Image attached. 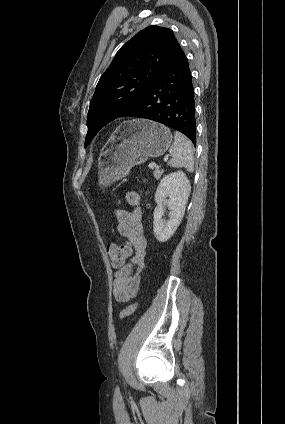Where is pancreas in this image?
I'll use <instances>...</instances> for the list:
<instances>
[{
    "label": "pancreas",
    "instance_id": "pancreas-1",
    "mask_svg": "<svg viewBox=\"0 0 285 424\" xmlns=\"http://www.w3.org/2000/svg\"><path fill=\"white\" fill-rule=\"evenodd\" d=\"M162 174H163V171L162 170H159V169H155L154 170V177L156 179H160V177H161Z\"/></svg>",
    "mask_w": 285,
    "mask_h": 424
}]
</instances>
